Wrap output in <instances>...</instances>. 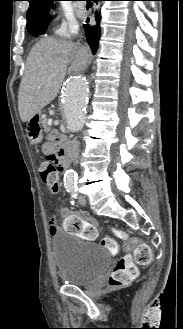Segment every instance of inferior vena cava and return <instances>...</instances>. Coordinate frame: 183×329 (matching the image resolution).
Here are the masks:
<instances>
[{"label": "inferior vena cava", "instance_id": "inferior-vena-cava-1", "mask_svg": "<svg viewBox=\"0 0 183 329\" xmlns=\"http://www.w3.org/2000/svg\"><path fill=\"white\" fill-rule=\"evenodd\" d=\"M90 51L86 47H81L77 51V61L80 63L81 67L85 69L89 63ZM72 160L74 164L78 163L79 156V142L77 140L72 141L71 150Z\"/></svg>", "mask_w": 183, "mask_h": 329}]
</instances>
